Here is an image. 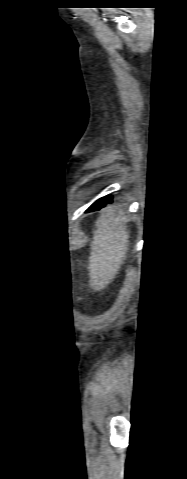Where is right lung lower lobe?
I'll list each match as a JSON object with an SVG mask.
<instances>
[{
    "label": "right lung lower lobe",
    "mask_w": 187,
    "mask_h": 479,
    "mask_svg": "<svg viewBox=\"0 0 187 479\" xmlns=\"http://www.w3.org/2000/svg\"><path fill=\"white\" fill-rule=\"evenodd\" d=\"M107 203H112V196H106V197L100 198L99 200L94 202L88 210L89 211L99 210L100 208H103Z\"/></svg>",
    "instance_id": "98d812e1"
}]
</instances>
